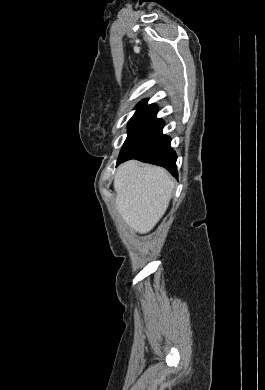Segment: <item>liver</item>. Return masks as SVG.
Instances as JSON below:
<instances>
[{
  "mask_svg": "<svg viewBox=\"0 0 265 390\" xmlns=\"http://www.w3.org/2000/svg\"><path fill=\"white\" fill-rule=\"evenodd\" d=\"M173 188L174 180L165 169L127 161L114 177L116 208L131 229L148 233L166 212Z\"/></svg>",
  "mask_w": 265,
  "mask_h": 390,
  "instance_id": "1",
  "label": "liver"
}]
</instances>
